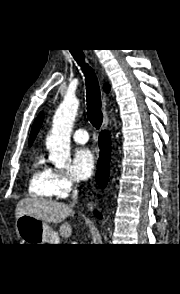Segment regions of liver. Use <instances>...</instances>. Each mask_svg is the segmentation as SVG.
Here are the masks:
<instances>
[{
    "label": "liver",
    "mask_w": 180,
    "mask_h": 294,
    "mask_svg": "<svg viewBox=\"0 0 180 294\" xmlns=\"http://www.w3.org/2000/svg\"><path fill=\"white\" fill-rule=\"evenodd\" d=\"M73 214L72 206L64 203L49 201L40 198L22 199L17 203L15 217L29 215L44 222L61 223L69 215ZM60 233L68 237L72 233V227L65 222L60 227Z\"/></svg>",
    "instance_id": "6515ba94"
}]
</instances>
